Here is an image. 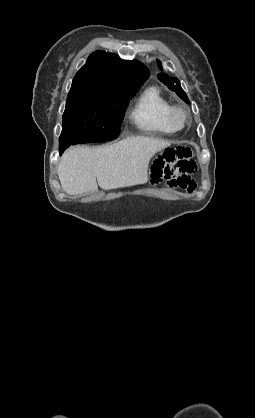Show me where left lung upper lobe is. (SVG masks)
I'll return each instance as SVG.
<instances>
[{"label": "left lung upper lobe", "mask_w": 255, "mask_h": 418, "mask_svg": "<svg viewBox=\"0 0 255 418\" xmlns=\"http://www.w3.org/2000/svg\"><path fill=\"white\" fill-rule=\"evenodd\" d=\"M159 69H162L161 62L157 60ZM160 81H162L169 89L175 91L176 94L186 103H190L186 93L181 88L180 82L177 78L169 77L168 75L161 73L158 75Z\"/></svg>", "instance_id": "5c2ea615"}]
</instances>
